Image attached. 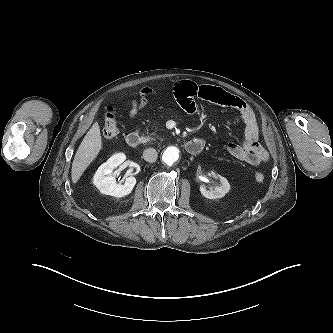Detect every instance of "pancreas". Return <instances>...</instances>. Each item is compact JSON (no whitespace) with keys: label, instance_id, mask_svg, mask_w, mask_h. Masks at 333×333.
Returning a JSON list of instances; mask_svg holds the SVG:
<instances>
[{"label":"pancreas","instance_id":"cf45deb5","mask_svg":"<svg viewBox=\"0 0 333 333\" xmlns=\"http://www.w3.org/2000/svg\"><path fill=\"white\" fill-rule=\"evenodd\" d=\"M154 133H147V136L144 138L145 142H151L152 140H155L153 137Z\"/></svg>","mask_w":333,"mask_h":333}]
</instances>
